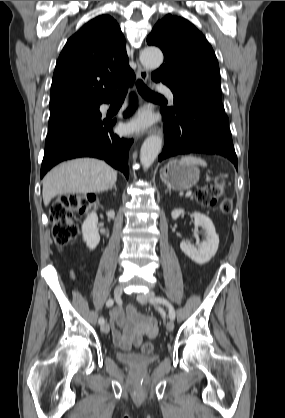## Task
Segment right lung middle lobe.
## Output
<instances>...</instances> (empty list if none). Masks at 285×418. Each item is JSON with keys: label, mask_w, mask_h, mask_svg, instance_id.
<instances>
[{"label": "right lung middle lobe", "mask_w": 285, "mask_h": 418, "mask_svg": "<svg viewBox=\"0 0 285 418\" xmlns=\"http://www.w3.org/2000/svg\"><path fill=\"white\" fill-rule=\"evenodd\" d=\"M100 104L74 102L50 107L49 132L65 124L100 118Z\"/></svg>", "instance_id": "1"}]
</instances>
